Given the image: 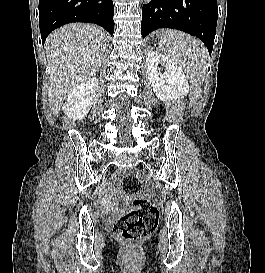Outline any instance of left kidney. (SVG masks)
<instances>
[{"mask_svg": "<svg viewBox=\"0 0 265 273\" xmlns=\"http://www.w3.org/2000/svg\"><path fill=\"white\" fill-rule=\"evenodd\" d=\"M160 63L166 69L164 73L158 69ZM146 72L155 95L161 101L180 100L189 92V84L182 69L174 60L161 55L158 51L148 52Z\"/></svg>", "mask_w": 265, "mask_h": 273, "instance_id": "5707ae66", "label": "left kidney"}]
</instances>
